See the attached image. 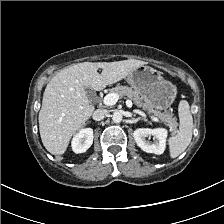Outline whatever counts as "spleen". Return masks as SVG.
<instances>
[{
  "mask_svg": "<svg viewBox=\"0 0 224 224\" xmlns=\"http://www.w3.org/2000/svg\"><path fill=\"white\" fill-rule=\"evenodd\" d=\"M179 111V130L177 134L169 138L170 157L176 158L191 142L193 131V118L190 106L186 100H181L178 107Z\"/></svg>",
  "mask_w": 224,
  "mask_h": 224,
  "instance_id": "3e777b00",
  "label": "spleen"
}]
</instances>
